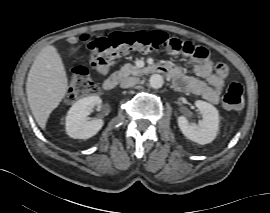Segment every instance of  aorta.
<instances>
[{
	"mask_svg": "<svg viewBox=\"0 0 270 213\" xmlns=\"http://www.w3.org/2000/svg\"><path fill=\"white\" fill-rule=\"evenodd\" d=\"M149 84L154 89H159L164 84L163 76L160 74H153L150 76Z\"/></svg>",
	"mask_w": 270,
	"mask_h": 213,
	"instance_id": "762f6f07",
	"label": "aorta"
}]
</instances>
